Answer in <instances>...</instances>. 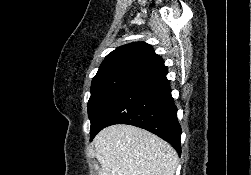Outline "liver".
<instances>
[{
	"mask_svg": "<svg viewBox=\"0 0 251 175\" xmlns=\"http://www.w3.org/2000/svg\"><path fill=\"white\" fill-rule=\"evenodd\" d=\"M100 175H174L178 155L170 143L134 125H109L94 137Z\"/></svg>",
	"mask_w": 251,
	"mask_h": 175,
	"instance_id": "6515ba94",
	"label": "liver"
}]
</instances>
